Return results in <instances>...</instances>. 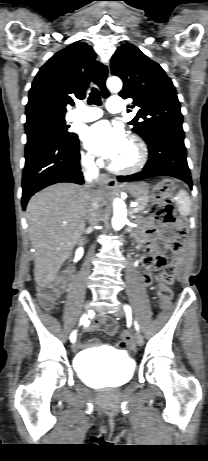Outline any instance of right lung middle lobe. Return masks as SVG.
<instances>
[{
    "mask_svg": "<svg viewBox=\"0 0 208 461\" xmlns=\"http://www.w3.org/2000/svg\"><path fill=\"white\" fill-rule=\"evenodd\" d=\"M65 116L32 115L27 116L25 131L27 143H32L43 136H57L64 140H71L77 135L68 131Z\"/></svg>",
    "mask_w": 208,
    "mask_h": 461,
    "instance_id": "1",
    "label": "right lung middle lobe"
}]
</instances>
